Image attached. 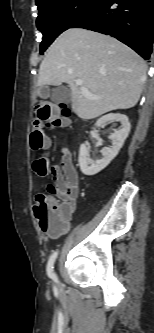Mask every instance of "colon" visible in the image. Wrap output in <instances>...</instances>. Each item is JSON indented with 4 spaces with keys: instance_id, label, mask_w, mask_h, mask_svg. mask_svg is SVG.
Wrapping results in <instances>:
<instances>
[{
    "instance_id": "colon-1",
    "label": "colon",
    "mask_w": 154,
    "mask_h": 333,
    "mask_svg": "<svg viewBox=\"0 0 154 333\" xmlns=\"http://www.w3.org/2000/svg\"><path fill=\"white\" fill-rule=\"evenodd\" d=\"M36 119L30 137L31 147L34 151H41L48 146V138L43 130V122L51 128L64 127L67 120L51 116L46 105L38 104L35 107ZM33 171L39 176H45L50 171L48 157L44 153L37 154L32 161ZM34 215L40 229L48 235H57L67 226L68 213L66 208L48 194H39L33 206Z\"/></svg>"
}]
</instances>
